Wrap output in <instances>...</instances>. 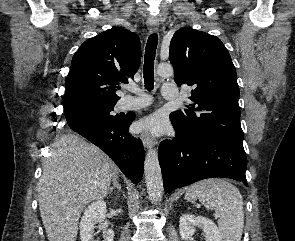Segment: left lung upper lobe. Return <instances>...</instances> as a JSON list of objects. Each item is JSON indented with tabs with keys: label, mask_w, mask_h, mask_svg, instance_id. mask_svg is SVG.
<instances>
[{
	"label": "left lung upper lobe",
	"mask_w": 295,
	"mask_h": 241,
	"mask_svg": "<svg viewBox=\"0 0 295 241\" xmlns=\"http://www.w3.org/2000/svg\"><path fill=\"white\" fill-rule=\"evenodd\" d=\"M169 59L176 84L193 88L189 110L170 115L182 135L219 136L243 143L236 70L220 39L191 28L179 29L171 39Z\"/></svg>",
	"instance_id": "1"
}]
</instances>
